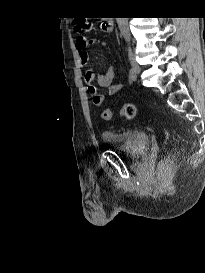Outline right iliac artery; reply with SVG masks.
Returning <instances> with one entry per match:
<instances>
[{
	"instance_id": "obj_1",
	"label": "right iliac artery",
	"mask_w": 205,
	"mask_h": 273,
	"mask_svg": "<svg viewBox=\"0 0 205 273\" xmlns=\"http://www.w3.org/2000/svg\"><path fill=\"white\" fill-rule=\"evenodd\" d=\"M129 78L131 81H135L136 80V75L134 73V71L132 69L129 70Z\"/></svg>"
}]
</instances>
